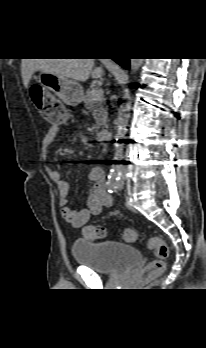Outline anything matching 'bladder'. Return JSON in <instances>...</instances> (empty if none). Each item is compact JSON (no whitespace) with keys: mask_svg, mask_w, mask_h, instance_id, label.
Returning a JSON list of instances; mask_svg holds the SVG:
<instances>
[{"mask_svg":"<svg viewBox=\"0 0 206 348\" xmlns=\"http://www.w3.org/2000/svg\"><path fill=\"white\" fill-rule=\"evenodd\" d=\"M75 262L101 274H118L141 260L139 250L115 241L77 240L72 245Z\"/></svg>","mask_w":206,"mask_h":348,"instance_id":"obj_1","label":"bladder"}]
</instances>
